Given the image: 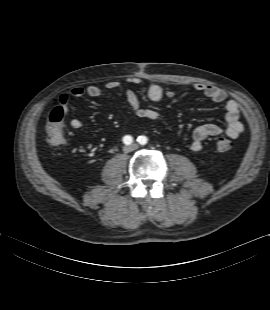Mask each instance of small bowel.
Segmentation results:
<instances>
[{"label": "small bowel", "mask_w": 270, "mask_h": 310, "mask_svg": "<svg viewBox=\"0 0 270 310\" xmlns=\"http://www.w3.org/2000/svg\"><path fill=\"white\" fill-rule=\"evenodd\" d=\"M128 82L132 85L138 86L142 83V80L137 77L128 79ZM121 87L117 81H108L104 89L96 85H88L86 87L77 86L72 88L66 93H63L58 100V107H60L64 114L68 113V104L72 98H79L84 95H88L93 98L102 97L105 94V90L113 91L118 90ZM195 91L201 93L208 99L216 103H223L226 110L227 126L225 128L213 123H206L196 127L192 134V142L190 148L192 151H200L202 149V142L209 138L225 134L231 139L238 138L243 130L244 126L240 121V106L234 99L229 98L228 94L212 85L196 84L194 86ZM126 100L132 114L138 118L147 119L150 121L158 122L161 120V116L158 111L151 108H145L141 105L137 93L128 88L125 91ZM147 96L151 101L158 102L165 98H172L174 93L172 91H165L161 86L155 83H151L147 87ZM70 127L75 130H80L84 127V123L79 119H72L70 121Z\"/></svg>", "instance_id": "small-bowel-1"}]
</instances>
